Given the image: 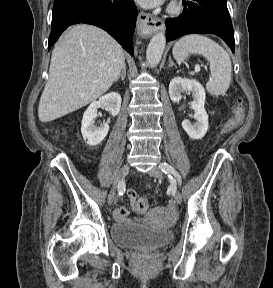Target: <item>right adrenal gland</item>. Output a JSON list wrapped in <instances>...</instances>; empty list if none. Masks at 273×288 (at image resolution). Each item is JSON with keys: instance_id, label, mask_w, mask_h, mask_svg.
I'll list each match as a JSON object with an SVG mask.
<instances>
[{"instance_id": "right-adrenal-gland-1", "label": "right adrenal gland", "mask_w": 273, "mask_h": 288, "mask_svg": "<svg viewBox=\"0 0 273 288\" xmlns=\"http://www.w3.org/2000/svg\"><path fill=\"white\" fill-rule=\"evenodd\" d=\"M126 77V65L123 66L121 73L119 74V76L117 77V79L115 80V82H117L120 78L122 80H124Z\"/></svg>"}]
</instances>
